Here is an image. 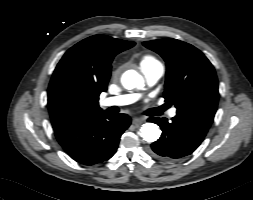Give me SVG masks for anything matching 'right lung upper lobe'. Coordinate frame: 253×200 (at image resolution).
<instances>
[{"label":"right lung upper lobe","mask_w":253,"mask_h":200,"mask_svg":"<svg viewBox=\"0 0 253 200\" xmlns=\"http://www.w3.org/2000/svg\"><path fill=\"white\" fill-rule=\"evenodd\" d=\"M134 42L105 35L88 37L70 48L55 68L48 88V108L54 130L105 111L99 95L106 91L114 56Z\"/></svg>","instance_id":"right-lung-upper-lobe-1"}]
</instances>
